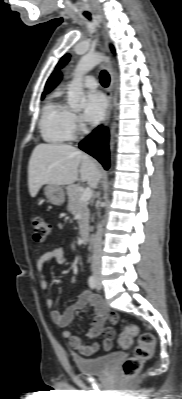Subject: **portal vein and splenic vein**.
Returning <instances> with one entry per match:
<instances>
[{"mask_svg": "<svg viewBox=\"0 0 182 399\" xmlns=\"http://www.w3.org/2000/svg\"><path fill=\"white\" fill-rule=\"evenodd\" d=\"M92 196V190L90 188L82 189L80 200L81 201H88Z\"/></svg>", "mask_w": 182, "mask_h": 399, "instance_id": "obj_1", "label": "portal vein and splenic vein"}]
</instances>
